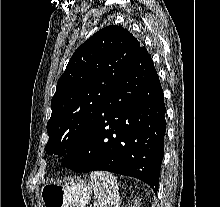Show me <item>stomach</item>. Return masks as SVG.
<instances>
[{
	"label": "stomach",
	"mask_w": 220,
	"mask_h": 207,
	"mask_svg": "<svg viewBox=\"0 0 220 207\" xmlns=\"http://www.w3.org/2000/svg\"><path fill=\"white\" fill-rule=\"evenodd\" d=\"M92 190L91 183L73 178L65 184H45L40 197L44 207H85Z\"/></svg>",
	"instance_id": "0dacf381"
}]
</instances>
